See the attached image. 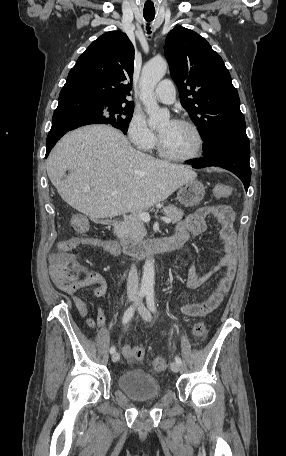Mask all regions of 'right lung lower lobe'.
Instances as JSON below:
<instances>
[{"instance_id":"98d812e1","label":"right lung lower lobe","mask_w":286,"mask_h":456,"mask_svg":"<svg viewBox=\"0 0 286 456\" xmlns=\"http://www.w3.org/2000/svg\"><path fill=\"white\" fill-rule=\"evenodd\" d=\"M91 95L75 89H62L58 107L53 114L52 127L47 136L46 156L55 143L69 130L79 127L81 107L91 100Z\"/></svg>"}]
</instances>
